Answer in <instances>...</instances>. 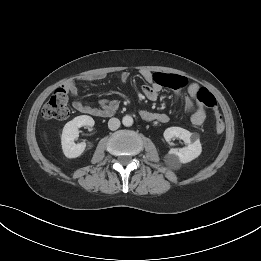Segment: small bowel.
<instances>
[{"label": "small bowel", "mask_w": 261, "mask_h": 261, "mask_svg": "<svg viewBox=\"0 0 261 261\" xmlns=\"http://www.w3.org/2000/svg\"><path fill=\"white\" fill-rule=\"evenodd\" d=\"M141 75L147 81L148 85L143 86L142 92L149 100H155L163 87H170L175 89L177 95L180 97L184 104V108L187 112H192L191 122L194 126H201L206 118L204 108L197 101V93L200 90L197 84H190L187 88V92H183L188 81L185 77L173 74H163V73H153L149 70L141 71ZM105 77L104 73H93L86 75L82 78L83 81L93 82L102 80ZM129 79L128 72H122L120 75V80L126 82ZM65 90L71 95L76 96L78 94V87L76 81L72 80L65 84ZM73 107L80 113L98 115L99 113L110 114L116 108V103L114 101L103 100L101 102V109L91 107L85 104L81 100H75L73 102ZM143 119L147 121H158L160 123H166L169 117L164 113H155L151 111L144 110L141 112Z\"/></svg>", "instance_id": "c3829d8e"}]
</instances>
